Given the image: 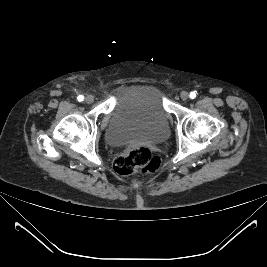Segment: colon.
Segmentation results:
<instances>
[{"mask_svg":"<svg viewBox=\"0 0 267 267\" xmlns=\"http://www.w3.org/2000/svg\"><path fill=\"white\" fill-rule=\"evenodd\" d=\"M160 164V158L148 147L135 146L115 159L113 169L119 176H129L136 173L155 172Z\"/></svg>","mask_w":267,"mask_h":267,"instance_id":"colon-1","label":"colon"}]
</instances>
